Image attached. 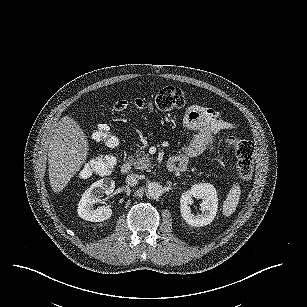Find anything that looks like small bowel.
<instances>
[{"mask_svg":"<svg viewBox=\"0 0 307 307\" xmlns=\"http://www.w3.org/2000/svg\"><path fill=\"white\" fill-rule=\"evenodd\" d=\"M182 121L186 129L194 132V137L181 153L172 159L184 168L189 158L212 149L216 135L235 128L233 124L223 120L218 111L199 105L190 106Z\"/></svg>","mask_w":307,"mask_h":307,"instance_id":"obj_1","label":"small bowel"}]
</instances>
